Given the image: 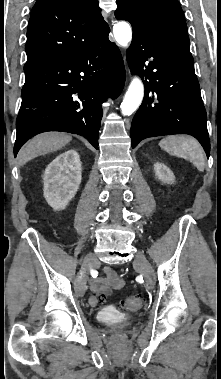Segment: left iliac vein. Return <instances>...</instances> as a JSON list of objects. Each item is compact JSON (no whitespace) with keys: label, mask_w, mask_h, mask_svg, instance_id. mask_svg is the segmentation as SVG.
<instances>
[{"label":"left iliac vein","mask_w":221,"mask_h":379,"mask_svg":"<svg viewBox=\"0 0 221 379\" xmlns=\"http://www.w3.org/2000/svg\"><path fill=\"white\" fill-rule=\"evenodd\" d=\"M133 264H134V267L143 275L146 283L150 287H154L155 285L154 270L142 252H138L136 254Z\"/></svg>","instance_id":"left-iliac-vein-1"}]
</instances>
